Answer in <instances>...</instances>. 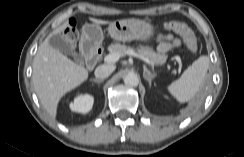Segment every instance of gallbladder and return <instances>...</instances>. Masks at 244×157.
<instances>
[{
	"label": "gallbladder",
	"mask_w": 244,
	"mask_h": 157,
	"mask_svg": "<svg viewBox=\"0 0 244 157\" xmlns=\"http://www.w3.org/2000/svg\"><path fill=\"white\" fill-rule=\"evenodd\" d=\"M49 44L51 47L61 51L65 55L72 57L77 63H83V57L77 53L70 42L61 35H52L49 38Z\"/></svg>",
	"instance_id": "1"
}]
</instances>
